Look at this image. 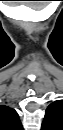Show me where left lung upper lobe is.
I'll use <instances>...</instances> for the list:
<instances>
[{
    "label": "left lung upper lobe",
    "mask_w": 63,
    "mask_h": 130,
    "mask_svg": "<svg viewBox=\"0 0 63 130\" xmlns=\"http://www.w3.org/2000/svg\"><path fill=\"white\" fill-rule=\"evenodd\" d=\"M42 130H63V101L51 103L45 113Z\"/></svg>",
    "instance_id": "left-lung-upper-lobe-1"
}]
</instances>
